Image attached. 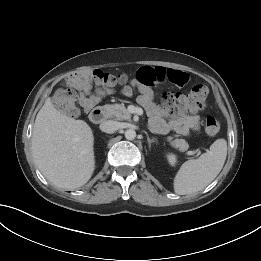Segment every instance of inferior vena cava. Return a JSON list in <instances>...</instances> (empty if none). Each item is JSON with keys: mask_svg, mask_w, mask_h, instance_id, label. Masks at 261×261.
<instances>
[{"mask_svg": "<svg viewBox=\"0 0 261 261\" xmlns=\"http://www.w3.org/2000/svg\"><path fill=\"white\" fill-rule=\"evenodd\" d=\"M119 122L113 120H107L100 124V130L106 133H114L119 129Z\"/></svg>", "mask_w": 261, "mask_h": 261, "instance_id": "602c4592", "label": "inferior vena cava"}]
</instances>
